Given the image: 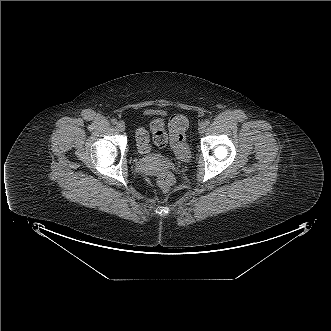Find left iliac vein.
<instances>
[{"instance_id": "obj_1", "label": "left iliac vein", "mask_w": 331, "mask_h": 331, "mask_svg": "<svg viewBox=\"0 0 331 331\" xmlns=\"http://www.w3.org/2000/svg\"><path fill=\"white\" fill-rule=\"evenodd\" d=\"M205 129H206V125H205V123H201V124L199 125V127H198V132H199L200 134H203V133L205 132Z\"/></svg>"}]
</instances>
